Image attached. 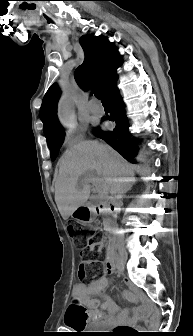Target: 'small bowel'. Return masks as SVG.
Segmentation results:
<instances>
[{"label":"small bowel","instance_id":"small-bowel-1","mask_svg":"<svg viewBox=\"0 0 193 336\" xmlns=\"http://www.w3.org/2000/svg\"><path fill=\"white\" fill-rule=\"evenodd\" d=\"M105 272L111 275L115 272V266L105 263ZM108 286V279L105 276H100L90 283L78 282L74 285L73 295L77 297L86 307L74 308L71 310L70 319L66 322L68 326L84 327L88 322H97L103 320L105 326L114 324L115 322L133 323V318L129 311L119 310L118 305L110 298L106 297L104 292ZM125 297L129 300H135L137 294L134 292H125ZM90 296H99L103 300H88ZM144 321L151 322L146 318ZM104 325H101L103 327Z\"/></svg>","mask_w":193,"mask_h":336}]
</instances>
